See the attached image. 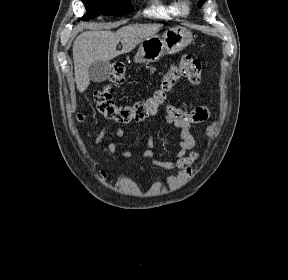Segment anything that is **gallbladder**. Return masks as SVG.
Segmentation results:
<instances>
[{
  "label": "gallbladder",
  "instance_id": "1",
  "mask_svg": "<svg viewBox=\"0 0 288 280\" xmlns=\"http://www.w3.org/2000/svg\"><path fill=\"white\" fill-rule=\"evenodd\" d=\"M90 80L94 82H103L111 74V64L108 61L97 60L88 70Z\"/></svg>",
  "mask_w": 288,
  "mask_h": 280
}]
</instances>
